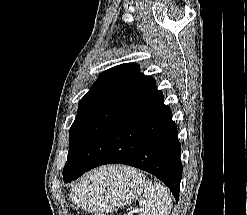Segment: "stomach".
Segmentation results:
<instances>
[{"mask_svg":"<svg viewBox=\"0 0 247 215\" xmlns=\"http://www.w3.org/2000/svg\"><path fill=\"white\" fill-rule=\"evenodd\" d=\"M123 167H103L89 173L72 189V200L82 209L96 213L111 212L135 200L143 190L144 180L138 171L127 167L123 171Z\"/></svg>","mask_w":247,"mask_h":215,"instance_id":"1","label":"stomach"}]
</instances>
